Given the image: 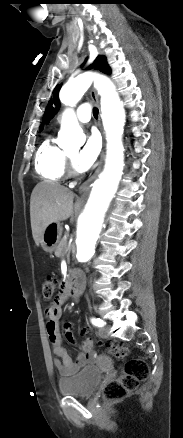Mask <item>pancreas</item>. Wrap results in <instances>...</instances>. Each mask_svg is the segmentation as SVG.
Instances as JSON below:
<instances>
[{
  "label": "pancreas",
  "mask_w": 183,
  "mask_h": 438,
  "mask_svg": "<svg viewBox=\"0 0 183 438\" xmlns=\"http://www.w3.org/2000/svg\"><path fill=\"white\" fill-rule=\"evenodd\" d=\"M66 249H67V240L64 237L59 241L55 249V255L59 258H63L65 255H67V259L69 260V253H66Z\"/></svg>",
  "instance_id": "cf45deb5"
}]
</instances>
